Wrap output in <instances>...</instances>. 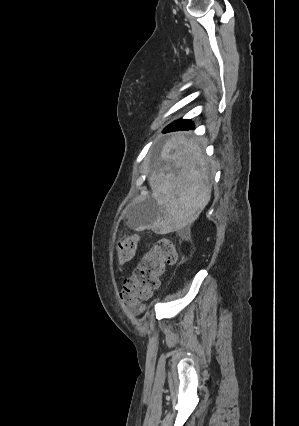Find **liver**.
<instances>
[{"instance_id": "1", "label": "liver", "mask_w": 299, "mask_h": 426, "mask_svg": "<svg viewBox=\"0 0 299 426\" xmlns=\"http://www.w3.org/2000/svg\"><path fill=\"white\" fill-rule=\"evenodd\" d=\"M200 138H189L178 132L161 150L164 167L149 176L151 196L160 214L145 227L159 234L180 230L194 222L211 199L210 162L204 155ZM178 169V174L171 169Z\"/></svg>"}]
</instances>
